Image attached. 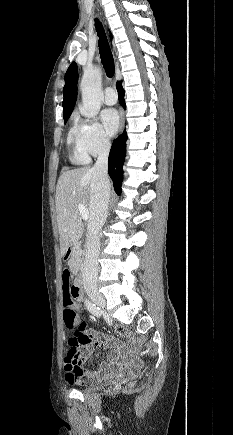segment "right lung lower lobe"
Segmentation results:
<instances>
[{"label":"right lung lower lobe","mask_w":233,"mask_h":435,"mask_svg":"<svg viewBox=\"0 0 233 435\" xmlns=\"http://www.w3.org/2000/svg\"><path fill=\"white\" fill-rule=\"evenodd\" d=\"M118 96L121 105L125 108L124 90L120 82H117ZM126 140L127 133L124 131L117 139L113 141L109 159H108V174L111 177L114 190L117 194H121V184L123 181V164L126 155Z\"/></svg>","instance_id":"right-lung-lower-lobe-1"}]
</instances>
